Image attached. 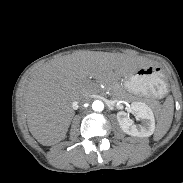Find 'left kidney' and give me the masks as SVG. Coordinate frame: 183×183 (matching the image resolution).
<instances>
[{
	"mask_svg": "<svg viewBox=\"0 0 183 183\" xmlns=\"http://www.w3.org/2000/svg\"><path fill=\"white\" fill-rule=\"evenodd\" d=\"M134 116L139 118L140 124H134L128 117V113H117L118 123L124 133L136 137H149L155 131V118L152 109L143 102H132L129 108Z\"/></svg>",
	"mask_w": 183,
	"mask_h": 183,
	"instance_id": "left-kidney-1",
	"label": "left kidney"
}]
</instances>
